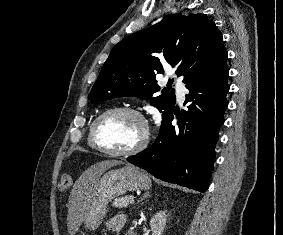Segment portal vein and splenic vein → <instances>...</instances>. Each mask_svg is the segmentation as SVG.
I'll use <instances>...</instances> for the list:
<instances>
[{"label":"portal vein and splenic vein","mask_w":283,"mask_h":235,"mask_svg":"<svg viewBox=\"0 0 283 235\" xmlns=\"http://www.w3.org/2000/svg\"><path fill=\"white\" fill-rule=\"evenodd\" d=\"M132 202H134V198H132Z\"/></svg>","instance_id":"18ae733b"}]
</instances>
